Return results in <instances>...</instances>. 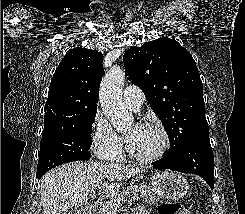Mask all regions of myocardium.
<instances>
[{
    "label": "myocardium",
    "mask_w": 245,
    "mask_h": 214,
    "mask_svg": "<svg viewBox=\"0 0 245 214\" xmlns=\"http://www.w3.org/2000/svg\"><path fill=\"white\" fill-rule=\"evenodd\" d=\"M141 126H145V127H149V128H152V129H156L157 131L160 132L161 136H162V145L161 147L159 148V150L152 154V155H149V156H142V155H138L136 153H134L129 147L128 145H126V151L128 153V155L138 161V162H141V163H152V162H155L159 159H161L165 153L168 151L169 147H170V144H171V141H170V136H169V133L168 131L166 130V128L160 124V123H157V122H144L141 124Z\"/></svg>",
    "instance_id": "obj_1"
}]
</instances>
